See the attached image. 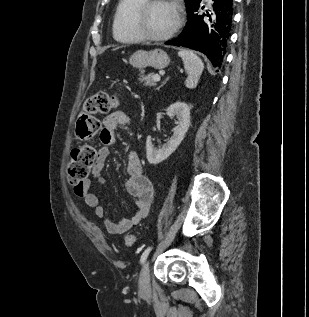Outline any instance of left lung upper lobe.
Segmentation results:
<instances>
[{
	"label": "left lung upper lobe",
	"mask_w": 309,
	"mask_h": 317,
	"mask_svg": "<svg viewBox=\"0 0 309 317\" xmlns=\"http://www.w3.org/2000/svg\"><path fill=\"white\" fill-rule=\"evenodd\" d=\"M201 0H185L186 10H189L199 4Z\"/></svg>",
	"instance_id": "obj_1"
}]
</instances>
